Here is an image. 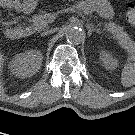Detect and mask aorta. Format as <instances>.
<instances>
[{
  "instance_id": "obj_1",
  "label": "aorta",
  "mask_w": 135,
  "mask_h": 135,
  "mask_svg": "<svg viewBox=\"0 0 135 135\" xmlns=\"http://www.w3.org/2000/svg\"><path fill=\"white\" fill-rule=\"evenodd\" d=\"M65 37L68 42L78 44L84 39V32L76 26H69L65 30Z\"/></svg>"
}]
</instances>
